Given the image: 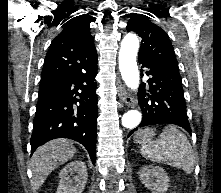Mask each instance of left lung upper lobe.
I'll return each instance as SVG.
<instances>
[{"label":"left lung upper lobe","instance_id":"5c2ea615","mask_svg":"<svg viewBox=\"0 0 221 193\" xmlns=\"http://www.w3.org/2000/svg\"><path fill=\"white\" fill-rule=\"evenodd\" d=\"M142 38L138 56L151 59L171 68L179 69L174 49L166 32L143 14H134L127 24Z\"/></svg>","mask_w":221,"mask_h":193}]
</instances>
